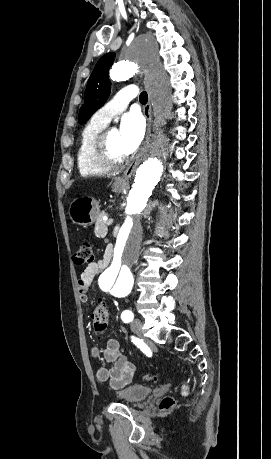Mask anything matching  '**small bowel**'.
<instances>
[{"mask_svg":"<svg viewBox=\"0 0 271 459\" xmlns=\"http://www.w3.org/2000/svg\"><path fill=\"white\" fill-rule=\"evenodd\" d=\"M108 264V258H103L96 263H90L81 273L78 279V289L80 301L85 303L88 300V290L96 275H98ZM94 357H99L101 354L104 359L113 362L112 368L108 369L105 366H98L96 369V377L100 381H109L113 388H121L125 386L132 378L135 371L134 365L128 361L127 357L120 351L119 343L115 339H109L104 351H100L97 347L91 349Z\"/></svg>","mask_w":271,"mask_h":459,"instance_id":"c3829d8e","label":"small bowel"}]
</instances>
